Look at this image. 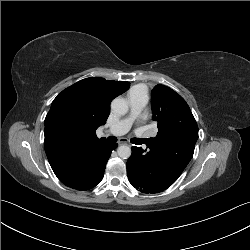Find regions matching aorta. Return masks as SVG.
<instances>
[{"label":"aorta","instance_id":"obj_1","mask_svg":"<svg viewBox=\"0 0 250 250\" xmlns=\"http://www.w3.org/2000/svg\"><path fill=\"white\" fill-rule=\"evenodd\" d=\"M128 109V103L124 98L117 97L111 102V110L116 115H125ZM117 153L120 158L128 159L131 156V148L125 145L119 146Z\"/></svg>","mask_w":250,"mask_h":250}]
</instances>
